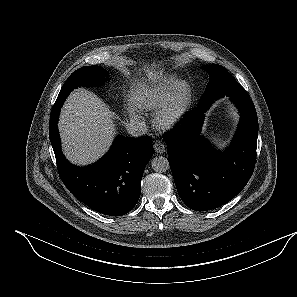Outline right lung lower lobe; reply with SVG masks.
Masks as SVG:
<instances>
[{"mask_svg":"<svg viewBox=\"0 0 297 297\" xmlns=\"http://www.w3.org/2000/svg\"><path fill=\"white\" fill-rule=\"evenodd\" d=\"M65 99L57 98L49 124V137L62 182L81 202L99 213L110 216L128 213L138 202L143 172L153 155L151 137H116L111 149L97 163L75 166L61 152L57 127Z\"/></svg>","mask_w":297,"mask_h":297,"instance_id":"obj_1","label":"right lung lower lobe"}]
</instances>
